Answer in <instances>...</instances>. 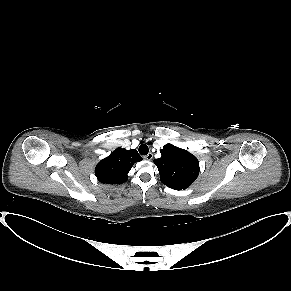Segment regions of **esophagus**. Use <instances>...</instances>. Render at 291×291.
Listing matches in <instances>:
<instances>
[{
  "label": "esophagus",
  "instance_id": "34e87169",
  "mask_svg": "<svg viewBox=\"0 0 291 291\" xmlns=\"http://www.w3.org/2000/svg\"><path fill=\"white\" fill-rule=\"evenodd\" d=\"M144 158L148 161L153 159V154L152 153H148L147 155L144 156Z\"/></svg>",
  "mask_w": 291,
  "mask_h": 291
}]
</instances>
